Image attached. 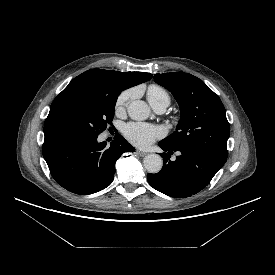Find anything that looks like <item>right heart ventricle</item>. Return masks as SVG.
<instances>
[{"mask_svg": "<svg viewBox=\"0 0 275 275\" xmlns=\"http://www.w3.org/2000/svg\"><path fill=\"white\" fill-rule=\"evenodd\" d=\"M147 99L152 107L164 104H170V95L168 91L160 85L151 84L147 89Z\"/></svg>", "mask_w": 275, "mask_h": 275, "instance_id": "1", "label": "right heart ventricle"}]
</instances>
